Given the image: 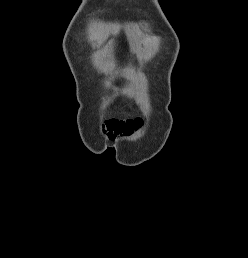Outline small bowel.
Segmentation results:
<instances>
[{
  "mask_svg": "<svg viewBox=\"0 0 248 258\" xmlns=\"http://www.w3.org/2000/svg\"><path fill=\"white\" fill-rule=\"evenodd\" d=\"M139 122L133 121V120H127V121H123L121 123H117L115 124V128H116V133H129L134 127H136V125ZM116 134L112 135L115 136Z\"/></svg>",
  "mask_w": 248,
  "mask_h": 258,
  "instance_id": "small-bowel-1",
  "label": "small bowel"
}]
</instances>
